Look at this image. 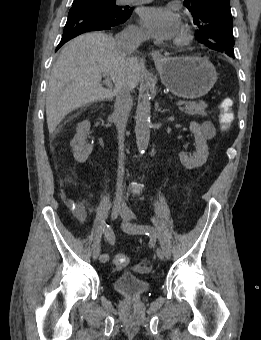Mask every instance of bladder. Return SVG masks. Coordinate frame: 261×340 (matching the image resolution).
Listing matches in <instances>:
<instances>
[{"mask_svg":"<svg viewBox=\"0 0 261 340\" xmlns=\"http://www.w3.org/2000/svg\"><path fill=\"white\" fill-rule=\"evenodd\" d=\"M114 289L129 298H136L145 295L149 290L148 282L132 274H122L115 278Z\"/></svg>","mask_w":261,"mask_h":340,"instance_id":"bladder-1","label":"bladder"}]
</instances>
